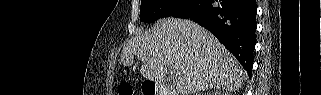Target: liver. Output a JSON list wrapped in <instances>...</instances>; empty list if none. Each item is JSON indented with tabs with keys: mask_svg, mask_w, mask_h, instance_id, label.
I'll return each mask as SVG.
<instances>
[{
	"mask_svg": "<svg viewBox=\"0 0 321 95\" xmlns=\"http://www.w3.org/2000/svg\"><path fill=\"white\" fill-rule=\"evenodd\" d=\"M143 62L141 75L161 83L175 75L177 95L212 88L238 90L246 72L235 57L205 28L190 20L162 19L154 30L131 38L122 49L121 63Z\"/></svg>",
	"mask_w": 321,
	"mask_h": 95,
	"instance_id": "liver-1",
	"label": "liver"
}]
</instances>
